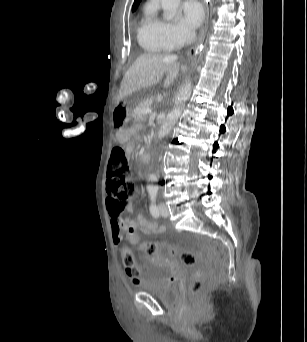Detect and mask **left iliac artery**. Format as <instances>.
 <instances>
[{
  "label": "left iliac artery",
  "instance_id": "obj_1",
  "mask_svg": "<svg viewBox=\"0 0 307 342\" xmlns=\"http://www.w3.org/2000/svg\"><path fill=\"white\" fill-rule=\"evenodd\" d=\"M158 190L159 188L157 186H151L148 188L149 194H150V199H151V206H150V212L151 215L155 218L159 217V210L156 205V200L158 196Z\"/></svg>",
  "mask_w": 307,
  "mask_h": 342
}]
</instances>
